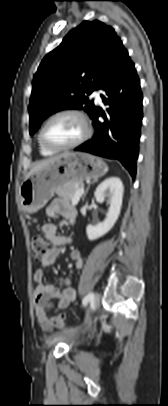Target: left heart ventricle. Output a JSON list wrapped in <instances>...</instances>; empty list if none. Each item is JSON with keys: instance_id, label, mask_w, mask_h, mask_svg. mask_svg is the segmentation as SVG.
<instances>
[{"instance_id": "b2bd125f", "label": "left heart ventricle", "mask_w": 168, "mask_h": 406, "mask_svg": "<svg viewBox=\"0 0 168 406\" xmlns=\"http://www.w3.org/2000/svg\"><path fill=\"white\" fill-rule=\"evenodd\" d=\"M81 120L74 115H62L52 120L45 129L46 140L56 146L76 141L83 133Z\"/></svg>"}]
</instances>
